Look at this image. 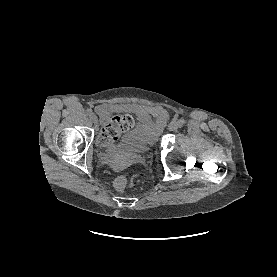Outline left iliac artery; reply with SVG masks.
<instances>
[{"instance_id": "obj_1", "label": "left iliac artery", "mask_w": 277, "mask_h": 277, "mask_svg": "<svg viewBox=\"0 0 277 277\" xmlns=\"http://www.w3.org/2000/svg\"><path fill=\"white\" fill-rule=\"evenodd\" d=\"M178 124H179V127H182L185 124V120L184 119H179Z\"/></svg>"}]
</instances>
